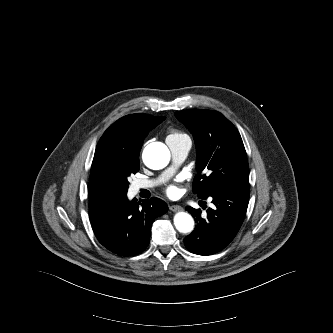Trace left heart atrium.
<instances>
[{
	"label": "left heart atrium",
	"mask_w": 333,
	"mask_h": 333,
	"mask_svg": "<svg viewBox=\"0 0 333 333\" xmlns=\"http://www.w3.org/2000/svg\"><path fill=\"white\" fill-rule=\"evenodd\" d=\"M178 192H179V189L176 185H170L167 188V193L171 196H174V195L178 194Z\"/></svg>",
	"instance_id": "39dd6f15"
}]
</instances>
